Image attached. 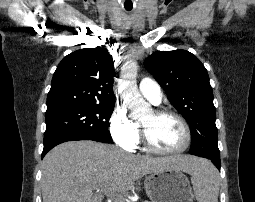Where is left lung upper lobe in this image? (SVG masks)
I'll return each instance as SVG.
<instances>
[{
  "mask_svg": "<svg viewBox=\"0 0 255 202\" xmlns=\"http://www.w3.org/2000/svg\"><path fill=\"white\" fill-rule=\"evenodd\" d=\"M144 65L189 123L190 153L200 157H219L213 91L207 70L200 60L186 50L157 51L145 60Z\"/></svg>",
  "mask_w": 255,
  "mask_h": 202,
  "instance_id": "5c2ea615",
  "label": "left lung upper lobe"
}]
</instances>
